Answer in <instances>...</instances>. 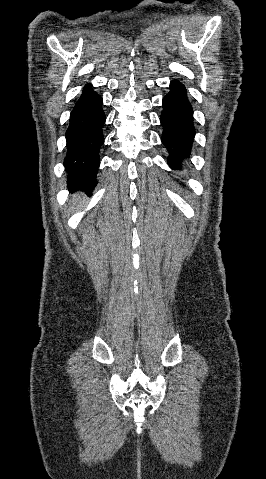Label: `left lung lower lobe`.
<instances>
[{
	"instance_id": "obj_1",
	"label": "left lung lower lobe",
	"mask_w": 266,
	"mask_h": 479,
	"mask_svg": "<svg viewBox=\"0 0 266 479\" xmlns=\"http://www.w3.org/2000/svg\"><path fill=\"white\" fill-rule=\"evenodd\" d=\"M170 88V92L163 99L161 139L169 153V166L173 170H183L191 157L195 137L193 110L182 83L174 80L170 83Z\"/></svg>"
}]
</instances>
